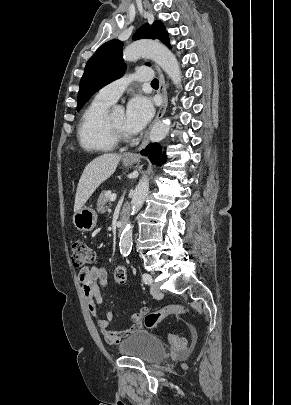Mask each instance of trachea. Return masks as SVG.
I'll use <instances>...</instances> for the list:
<instances>
[{
	"label": "trachea",
	"instance_id": "trachea-1",
	"mask_svg": "<svg viewBox=\"0 0 291 405\" xmlns=\"http://www.w3.org/2000/svg\"><path fill=\"white\" fill-rule=\"evenodd\" d=\"M151 85L158 86V85H159L158 79H154V80L151 82Z\"/></svg>",
	"mask_w": 291,
	"mask_h": 405
}]
</instances>
